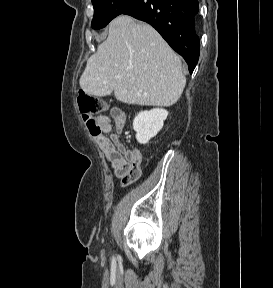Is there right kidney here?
Returning a JSON list of instances; mask_svg holds the SVG:
<instances>
[{"label":"right kidney","mask_w":273,"mask_h":288,"mask_svg":"<svg viewBox=\"0 0 273 288\" xmlns=\"http://www.w3.org/2000/svg\"><path fill=\"white\" fill-rule=\"evenodd\" d=\"M167 116L168 111L159 108L139 112L133 120L137 141L141 144L148 143L162 129Z\"/></svg>","instance_id":"obj_1"}]
</instances>
